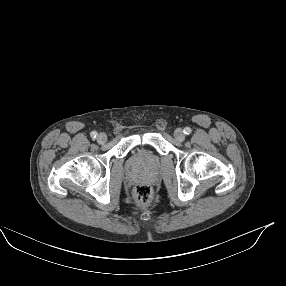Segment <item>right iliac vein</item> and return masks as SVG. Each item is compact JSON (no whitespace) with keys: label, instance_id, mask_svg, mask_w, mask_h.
<instances>
[{"label":"right iliac vein","instance_id":"63e3f726","mask_svg":"<svg viewBox=\"0 0 286 286\" xmlns=\"http://www.w3.org/2000/svg\"><path fill=\"white\" fill-rule=\"evenodd\" d=\"M97 141H98L99 144H104V143L107 141V136H106V134L100 133V134L97 136Z\"/></svg>","mask_w":286,"mask_h":286}]
</instances>
